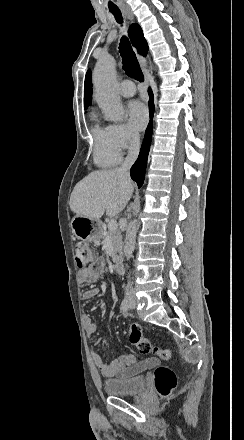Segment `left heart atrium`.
<instances>
[{"label":"left heart atrium","mask_w":244,"mask_h":440,"mask_svg":"<svg viewBox=\"0 0 244 440\" xmlns=\"http://www.w3.org/2000/svg\"><path fill=\"white\" fill-rule=\"evenodd\" d=\"M128 114L130 123L135 129L142 130L146 126L148 112L142 102L131 101L128 105Z\"/></svg>","instance_id":"1"}]
</instances>
